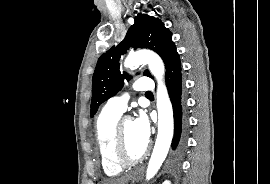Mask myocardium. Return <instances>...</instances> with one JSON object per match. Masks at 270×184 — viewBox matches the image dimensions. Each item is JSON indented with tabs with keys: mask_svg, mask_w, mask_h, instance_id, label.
<instances>
[{
	"mask_svg": "<svg viewBox=\"0 0 270 184\" xmlns=\"http://www.w3.org/2000/svg\"><path fill=\"white\" fill-rule=\"evenodd\" d=\"M127 121H132V117L123 116L119 118L115 126L113 139V157L115 162L122 167L131 166L141 162L149 155L151 148L150 144L147 142L145 150L138 157L129 156L126 150L124 136V125Z\"/></svg>",
	"mask_w": 270,
	"mask_h": 184,
	"instance_id": "f54148a6",
	"label": "myocardium"
}]
</instances>
